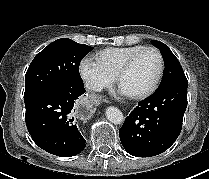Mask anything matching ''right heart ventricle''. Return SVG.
Masks as SVG:
<instances>
[{
	"instance_id": "obj_1",
	"label": "right heart ventricle",
	"mask_w": 209,
	"mask_h": 179,
	"mask_svg": "<svg viewBox=\"0 0 209 179\" xmlns=\"http://www.w3.org/2000/svg\"><path fill=\"white\" fill-rule=\"evenodd\" d=\"M144 47L143 45L108 47L95 54V62L108 76L114 78L122 64Z\"/></svg>"
}]
</instances>
